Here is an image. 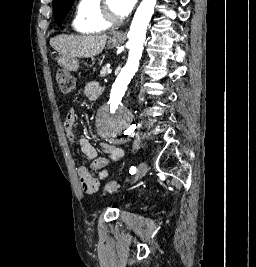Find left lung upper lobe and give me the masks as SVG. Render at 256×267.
Returning <instances> with one entry per match:
<instances>
[{
    "mask_svg": "<svg viewBox=\"0 0 256 267\" xmlns=\"http://www.w3.org/2000/svg\"><path fill=\"white\" fill-rule=\"evenodd\" d=\"M73 0H53L54 18L58 25L71 9Z\"/></svg>",
    "mask_w": 256,
    "mask_h": 267,
    "instance_id": "1",
    "label": "left lung upper lobe"
}]
</instances>
